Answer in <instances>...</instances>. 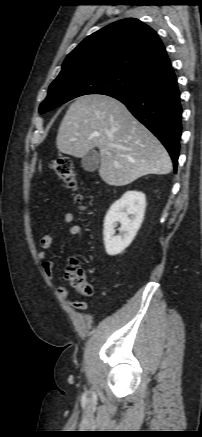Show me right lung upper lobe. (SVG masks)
Here are the masks:
<instances>
[{"mask_svg": "<svg viewBox=\"0 0 202 437\" xmlns=\"http://www.w3.org/2000/svg\"><path fill=\"white\" fill-rule=\"evenodd\" d=\"M169 67L157 33L140 20L127 18L85 38L66 57L59 75L84 69L118 72L148 81Z\"/></svg>", "mask_w": 202, "mask_h": 437, "instance_id": "right-lung-upper-lobe-1", "label": "right lung upper lobe"}]
</instances>
